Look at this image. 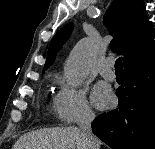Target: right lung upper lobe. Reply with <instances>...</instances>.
Wrapping results in <instances>:
<instances>
[{
  "label": "right lung upper lobe",
  "mask_w": 155,
  "mask_h": 149,
  "mask_svg": "<svg viewBox=\"0 0 155 149\" xmlns=\"http://www.w3.org/2000/svg\"><path fill=\"white\" fill-rule=\"evenodd\" d=\"M103 22L114 33L110 47L112 51L124 55V68L155 58V30L141 0H114ZM72 30L73 24L69 23L55 34L42 73L53 64L56 53L68 40Z\"/></svg>",
  "instance_id": "1"
}]
</instances>
